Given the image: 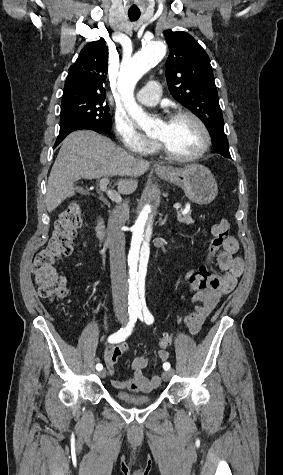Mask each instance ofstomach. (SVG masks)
<instances>
[{"label":"stomach","instance_id":"1","mask_svg":"<svg viewBox=\"0 0 283 475\" xmlns=\"http://www.w3.org/2000/svg\"><path fill=\"white\" fill-rule=\"evenodd\" d=\"M159 178L169 184H175L184 190L187 198L194 204H211L218 194L217 182L209 168L201 164H188L184 168H171L167 172H159L155 168Z\"/></svg>","mask_w":283,"mask_h":475}]
</instances>
